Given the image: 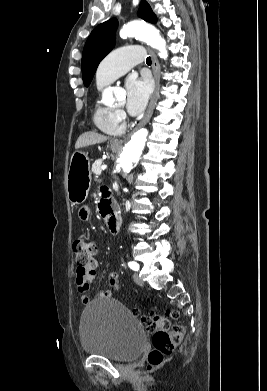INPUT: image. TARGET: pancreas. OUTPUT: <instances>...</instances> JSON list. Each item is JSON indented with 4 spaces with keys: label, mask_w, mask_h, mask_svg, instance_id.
Here are the masks:
<instances>
[{
    "label": "pancreas",
    "mask_w": 267,
    "mask_h": 391,
    "mask_svg": "<svg viewBox=\"0 0 267 391\" xmlns=\"http://www.w3.org/2000/svg\"><path fill=\"white\" fill-rule=\"evenodd\" d=\"M102 164H103V160L102 159H98L96 160L93 165H92V172L96 175V176H99L101 174V167H102Z\"/></svg>",
    "instance_id": "obj_1"
}]
</instances>
